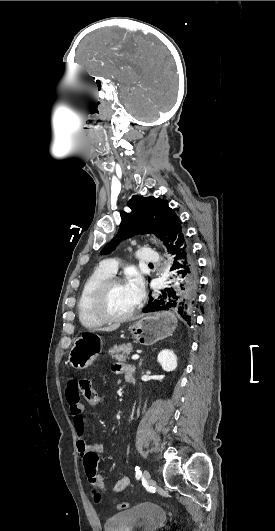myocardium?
<instances>
[{
    "label": "myocardium",
    "instance_id": "1",
    "mask_svg": "<svg viewBox=\"0 0 275 531\" xmlns=\"http://www.w3.org/2000/svg\"><path fill=\"white\" fill-rule=\"evenodd\" d=\"M122 278L111 275L103 280L95 289L90 298V310L94 316L104 322H123L131 318L136 311L135 306L125 315L115 316L111 314L106 307V297L110 287L116 283L122 282Z\"/></svg>",
    "mask_w": 275,
    "mask_h": 531
}]
</instances>
